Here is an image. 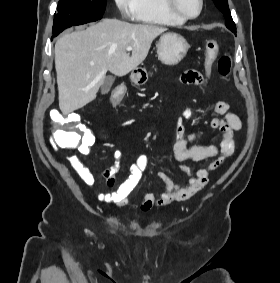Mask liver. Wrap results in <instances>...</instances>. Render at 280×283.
Returning <instances> with one entry per match:
<instances>
[{"mask_svg":"<svg viewBox=\"0 0 280 283\" xmlns=\"http://www.w3.org/2000/svg\"><path fill=\"white\" fill-rule=\"evenodd\" d=\"M165 27L104 19L85 30L64 34L55 44L59 108L64 115L96 98L107 71L124 76L147 57ZM132 46L131 56L126 47Z\"/></svg>","mask_w":280,"mask_h":283,"instance_id":"1","label":"liver"}]
</instances>
